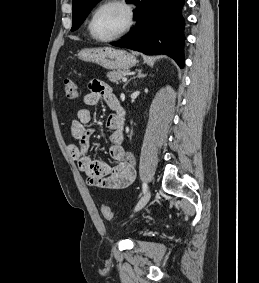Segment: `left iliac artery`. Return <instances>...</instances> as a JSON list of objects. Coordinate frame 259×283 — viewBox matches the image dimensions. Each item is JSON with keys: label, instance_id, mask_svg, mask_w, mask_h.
<instances>
[{"label": "left iliac artery", "instance_id": "obj_1", "mask_svg": "<svg viewBox=\"0 0 259 283\" xmlns=\"http://www.w3.org/2000/svg\"><path fill=\"white\" fill-rule=\"evenodd\" d=\"M142 189H143V193H145L147 191V184H146V182H143Z\"/></svg>", "mask_w": 259, "mask_h": 283}]
</instances>
